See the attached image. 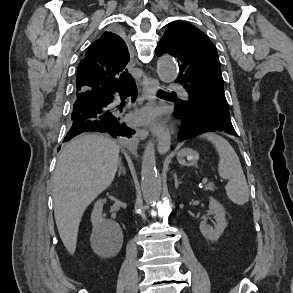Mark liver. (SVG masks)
<instances>
[{
	"instance_id": "1",
	"label": "liver",
	"mask_w": 293,
	"mask_h": 293,
	"mask_svg": "<svg viewBox=\"0 0 293 293\" xmlns=\"http://www.w3.org/2000/svg\"><path fill=\"white\" fill-rule=\"evenodd\" d=\"M119 146L98 134L75 138L61 152L53 175L54 216L60 238L74 254L81 218L114 180Z\"/></svg>"
}]
</instances>
